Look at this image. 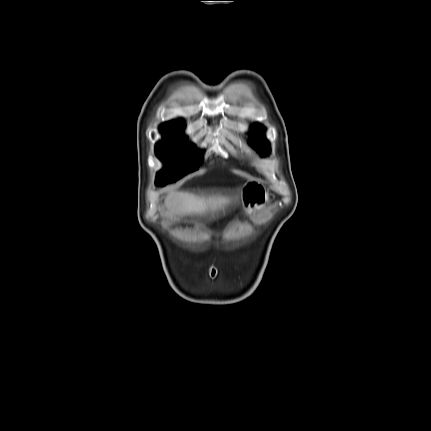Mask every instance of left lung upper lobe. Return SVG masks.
<instances>
[{"label":"left lung upper lobe","instance_id":"1","mask_svg":"<svg viewBox=\"0 0 431 431\" xmlns=\"http://www.w3.org/2000/svg\"><path fill=\"white\" fill-rule=\"evenodd\" d=\"M251 142L257 150L265 152L268 149V142L262 135V127L255 124L252 126Z\"/></svg>","mask_w":431,"mask_h":431}]
</instances>
